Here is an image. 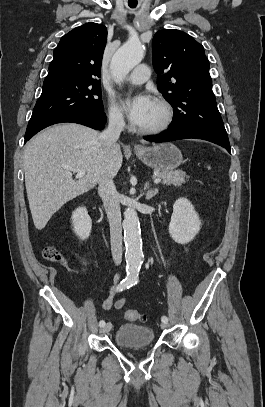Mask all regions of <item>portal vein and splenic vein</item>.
Instances as JSON below:
<instances>
[{"label":"portal vein and splenic vein","instance_id":"1","mask_svg":"<svg viewBox=\"0 0 265 407\" xmlns=\"http://www.w3.org/2000/svg\"><path fill=\"white\" fill-rule=\"evenodd\" d=\"M65 168H66V169H69V170H71V171H73V172H76L78 177H81V176L85 175V171H84V170H80V169L73 168V167H69V166H65ZM160 181H161L160 178H155V179H154V183H155V184L160 183Z\"/></svg>","mask_w":265,"mask_h":407}]
</instances>
